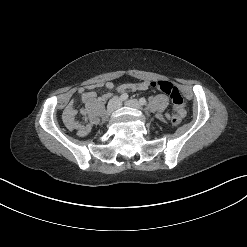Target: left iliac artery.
I'll use <instances>...</instances> for the list:
<instances>
[{"label": "left iliac artery", "instance_id": "1", "mask_svg": "<svg viewBox=\"0 0 247 247\" xmlns=\"http://www.w3.org/2000/svg\"><path fill=\"white\" fill-rule=\"evenodd\" d=\"M139 103H140L141 105H145V104H146V99H145V98H140V99H139Z\"/></svg>", "mask_w": 247, "mask_h": 247}]
</instances>
